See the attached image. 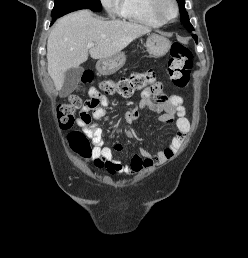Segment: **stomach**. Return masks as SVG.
Instances as JSON below:
<instances>
[{
  "instance_id": "1",
  "label": "stomach",
  "mask_w": 248,
  "mask_h": 258,
  "mask_svg": "<svg viewBox=\"0 0 248 258\" xmlns=\"http://www.w3.org/2000/svg\"><path fill=\"white\" fill-rule=\"evenodd\" d=\"M145 46L150 55L161 57L169 51L171 42L163 36L153 34L147 38ZM125 62V53L119 52L114 56L100 59L96 64V68L100 74L110 75L121 69Z\"/></svg>"
}]
</instances>
